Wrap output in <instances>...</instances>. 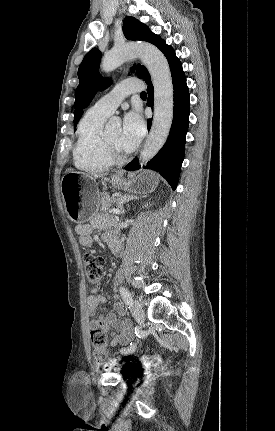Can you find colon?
<instances>
[{"label": "colon", "instance_id": "colon-1", "mask_svg": "<svg viewBox=\"0 0 275 431\" xmlns=\"http://www.w3.org/2000/svg\"><path fill=\"white\" fill-rule=\"evenodd\" d=\"M83 266L87 280L90 284H97L103 274L105 262L102 257L92 253L83 256ZM90 340L93 348V355L96 363L105 369H112L118 365H129L130 357L111 358L107 347V338L103 330L93 329L90 332ZM142 361L152 365H160L163 362L161 355L143 356Z\"/></svg>", "mask_w": 275, "mask_h": 431}]
</instances>
